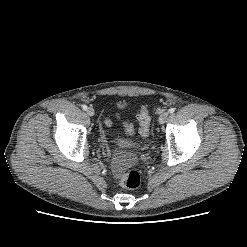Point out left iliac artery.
I'll use <instances>...</instances> for the list:
<instances>
[{
    "label": "left iliac artery",
    "instance_id": "left-iliac-artery-1",
    "mask_svg": "<svg viewBox=\"0 0 247 247\" xmlns=\"http://www.w3.org/2000/svg\"><path fill=\"white\" fill-rule=\"evenodd\" d=\"M175 112V108H170L169 109V113H174Z\"/></svg>",
    "mask_w": 247,
    "mask_h": 247
}]
</instances>
